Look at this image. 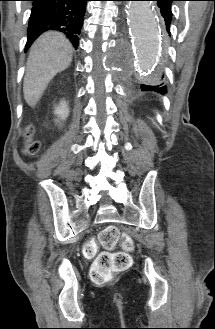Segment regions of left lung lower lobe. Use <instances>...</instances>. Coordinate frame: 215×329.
<instances>
[{
	"instance_id": "left-lung-lower-lobe-1",
	"label": "left lung lower lobe",
	"mask_w": 215,
	"mask_h": 329,
	"mask_svg": "<svg viewBox=\"0 0 215 329\" xmlns=\"http://www.w3.org/2000/svg\"><path fill=\"white\" fill-rule=\"evenodd\" d=\"M154 1H157V5L160 8L161 15L164 17L166 30L170 35V23L172 20L171 3L177 0H154ZM162 85L163 84L157 86L142 85V89L148 91H157L160 93H166L167 92L166 86H162Z\"/></svg>"
}]
</instances>
